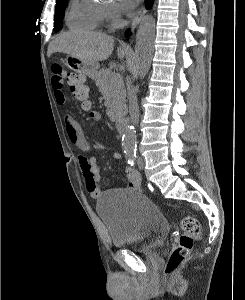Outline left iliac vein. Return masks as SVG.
Masks as SVG:
<instances>
[{
	"mask_svg": "<svg viewBox=\"0 0 245 300\" xmlns=\"http://www.w3.org/2000/svg\"><path fill=\"white\" fill-rule=\"evenodd\" d=\"M137 164H138V168L139 169H143V167H144V159L141 156H139L137 158Z\"/></svg>",
	"mask_w": 245,
	"mask_h": 300,
	"instance_id": "obj_1",
	"label": "left iliac vein"
}]
</instances>
